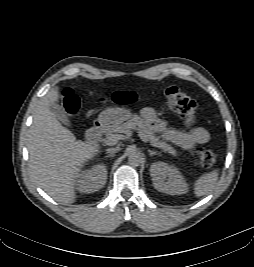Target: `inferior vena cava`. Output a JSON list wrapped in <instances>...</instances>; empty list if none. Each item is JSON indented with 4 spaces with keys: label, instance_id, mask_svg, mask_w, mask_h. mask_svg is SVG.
Here are the masks:
<instances>
[{
    "label": "inferior vena cava",
    "instance_id": "obj_1",
    "mask_svg": "<svg viewBox=\"0 0 254 267\" xmlns=\"http://www.w3.org/2000/svg\"><path fill=\"white\" fill-rule=\"evenodd\" d=\"M119 150H120L119 148H109V149H107L106 151H107V153H109V154H113V153L118 152Z\"/></svg>",
    "mask_w": 254,
    "mask_h": 267
}]
</instances>
